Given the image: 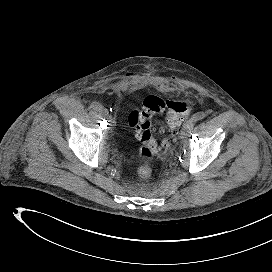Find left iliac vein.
I'll use <instances>...</instances> for the list:
<instances>
[{
    "mask_svg": "<svg viewBox=\"0 0 272 272\" xmlns=\"http://www.w3.org/2000/svg\"><path fill=\"white\" fill-rule=\"evenodd\" d=\"M188 122H190V124L186 123L181 130L180 134L181 140H184L186 138V136L190 133L191 128L193 126V122L191 120H189Z\"/></svg>",
    "mask_w": 272,
    "mask_h": 272,
    "instance_id": "left-iliac-vein-1",
    "label": "left iliac vein"
}]
</instances>
